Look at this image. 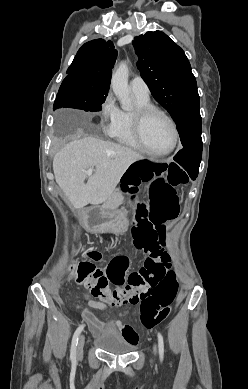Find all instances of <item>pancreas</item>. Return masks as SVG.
Masks as SVG:
<instances>
[{
	"label": "pancreas",
	"mask_w": 248,
	"mask_h": 389,
	"mask_svg": "<svg viewBox=\"0 0 248 389\" xmlns=\"http://www.w3.org/2000/svg\"><path fill=\"white\" fill-rule=\"evenodd\" d=\"M124 202V197L121 192L116 189L114 193L102 205V213L104 216L112 217L117 213L118 207Z\"/></svg>",
	"instance_id": "obj_1"
}]
</instances>
